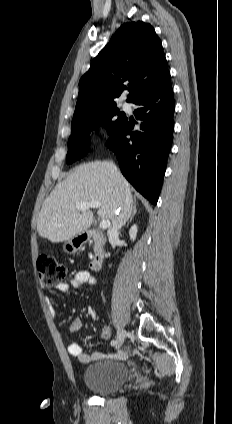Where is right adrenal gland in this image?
I'll return each mask as SVG.
<instances>
[{
  "label": "right adrenal gland",
  "mask_w": 232,
  "mask_h": 424,
  "mask_svg": "<svg viewBox=\"0 0 232 424\" xmlns=\"http://www.w3.org/2000/svg\"><path fill=\"white\" fill-rule=\"evenodd\" d=\"M136 212H137V209H136V200L134 199L133 212H132V214L130 216V219L127 221V225H129V223L132 222V220H133Z\"/></svg>",
  "instance_id": "2a0ac1e0"
}]
</instances>
